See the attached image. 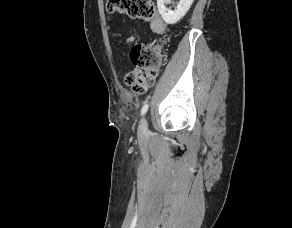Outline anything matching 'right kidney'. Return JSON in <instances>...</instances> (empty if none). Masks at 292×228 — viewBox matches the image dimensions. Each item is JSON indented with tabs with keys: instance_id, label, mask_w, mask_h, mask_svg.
<instances>
[{
	"instance_id": "1",
	"label": "right kidney",
	"mask_w": 292,
	"mask_h": 228,
	"mask_svg": "<svg viewBox=\"0 0 292 228\" xmlns=\"http://www.w3.org/2000/svg\"><path fill=\"white\" fill-rule=\"evenodd\" d=\"M194 0H180L175 10H169L165 6V0H157L160 15L167 24H175L185 16Z\"/></svg>"
}]
</instances>
